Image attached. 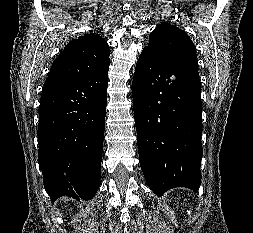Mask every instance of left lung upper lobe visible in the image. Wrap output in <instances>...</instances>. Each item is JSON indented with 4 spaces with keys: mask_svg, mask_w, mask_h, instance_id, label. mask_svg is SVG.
<instances>
[{
    "mask_svg": "<svg viewBox=\"0 0 253 233\" xmlns=\"http://www.w3.org/2000/svg\"><path fill=\"white\" fill-rule=\"evenodd\" d=\"M146 48L165 63L189 64L198 68L194 44L184 31L172 24L161 23L157 26Z\"/></svg>",
    "mask_w": 253,
    "mask_h": 233,
    "instance_id": "left-lung-upper-lobe-1",
    "label": "left lung upper lobe"
}]
</instances>
